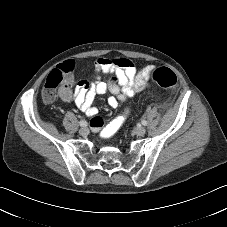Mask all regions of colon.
Here are the masks:
<instances>
[{
    "label": "colon",
    "mask_w": 227,
    "mask_h": 227,
    "mask_svg": "<svg viewBox=\"0 0 227 227\" xmlns=\"http://www.w3.org/2000/svg\"><path fill=\"white\" fill-rule=\"evenodd\" d=\"M74 64L68 62L63 67H57L53 69L48 75L44 89L43 97L46 101H52L56 96V89L63 83H68L72 80L74 74ZM152 79L156 85L162 88H172L177 83V76L173 70L167 67H161L156 69L152 74ZM127 120V115H120L114 121L108 132L103 135L104 137H110L115 134ZM101 124V119L95 117L91 121L92 127H98Z\"/></svg>",
    "instance_id": "1"
}]
</instances>
